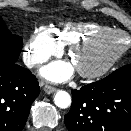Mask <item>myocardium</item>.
Returning <instances> with one entry per match:
<instances>
[{
	"label": "myocardium",
	"instance_id": "myocardium-1",
	"mask_svg": "<svg viewBox=\"0 0 131 131\" xmlns=\"http://www.w3.org/2000/svg\"><path fill=\"white\" fill-rule=\"evenodd\" d=\"M114 36H121L126 39L125 45L119 49L116 53L110 56L105 62L102 64L92 68V69H78V73L81 77L86 79H94L104 75L108 72L115 63L127 52L130 47V41L128 35L117 29H109L105 31H100L95 34H92L84 39L76 41L69 46L68 54L73 58V56L78 51H85L92 49L96 45H98L101 41L106 38L114 37Z\"/></svg>",
	"mask_w": 131,
	"mask_h": 131
}]
</instances>
